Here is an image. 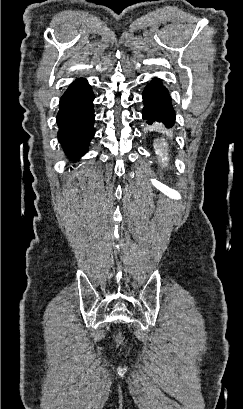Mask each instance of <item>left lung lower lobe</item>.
<instances>
[{"instance_id":"left-lung-lower-lobe-1","label":"left lung lower lobe","mask_w":243,"mask_h":409,"mask_svg":"<svg viewBox=\"0 0 243 409\" xmlns=\"http://www.w3.org/2000/svg\"><path fill=\"white\" fill-rule=\"evenodd\" d=\"M143 119L152 124L162 122L167 128L175 123V111L171 103L169 91L160 79L154 78L143 92Z\"/></svg>"}]
</instances>
